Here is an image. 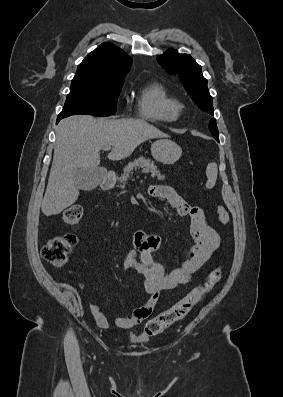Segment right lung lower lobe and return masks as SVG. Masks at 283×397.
Wrapping results in <instances>:
<instances>
[{
  "label": "right lung lower lobe",
  "mask_w": 283,
  "mask_h": 397,
  "mask_svg": "<svg viewBox=\"0 0 283 397\" xmlns=\"http://www.w3.org/2000/svg\"><path fill=\"white\" fill-rule=\"evenodd\" d=\"M61 118H57V123L60 121Z\"/></svg>",
  "instance_id": "right-lung-lower-lobe-1"
}]
</instances>
